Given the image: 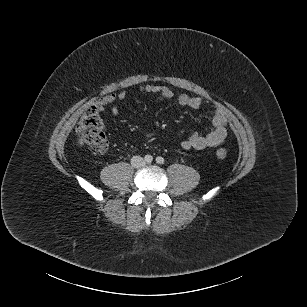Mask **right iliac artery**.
I'll return each mask as SVG.
<instances>
[{"label": "right iliac artery", "instance_id": "82829eb1", "mask_svg": "<svg viewBox=\"0 0 307 307\" xmlns=\"http://www.w3.org/2000/svg\"><path fill=\"white\" fill-rule=\"evenodd\" d=\"M145 162L151 163L153 161V157L151 155H146L144 157Z\"/></svg>", "mask_w": 307, "mask_h": 307}]
</instances>
